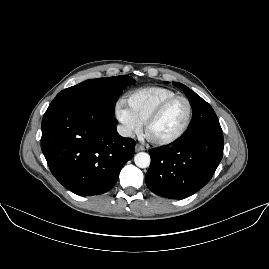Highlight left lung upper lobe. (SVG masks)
Here are the masks:
<instances>
[{
    "label": "left lung upper lobe",
    "instance_id": "left-lung-upper-lobe-1",
    "mask_svg": "<svg viewBox=\"0 0 269 269\" xmlns=\"http://www.w3.org/2000/svg\"><path fill=\"white\" fill-rule=\"evenodd\" d=\"M173 85L185 93L193 109L191 123L181 137L190 138L202 132L221 130L213 108L205 100L181 83L173 82Z\"/></svg>",
    "mask_w": 269,
    "mask_h": 269
}]
</instances>
